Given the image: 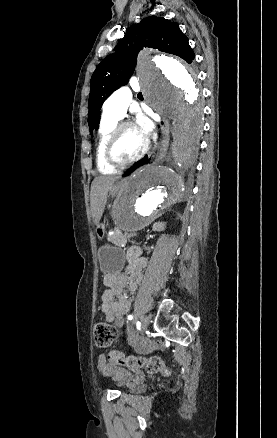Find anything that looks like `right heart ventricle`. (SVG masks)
<instances>
[{
    "mask_svg": "<svg viewBox=\"0 0 277 438\" xmlns=\"http://www.w3.org/2000/svg\"><path fill=\"white\" fill-rule=\"evenodd\" d=\"M117 122L118 120L103 117L99 127V140L97 145V166L103 174H112L116 171L114 167L106 162L104 152L109 136L116 126Z\"/></svg>",
    "mask_w": 277,
    "mask_h": 438,
    "instance_id": "e07e8e85",
    "label": "right heart ventricle"
}]
</instances>
